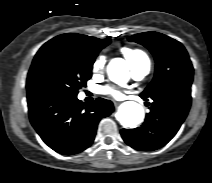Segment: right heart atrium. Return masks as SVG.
<instances>
[{
	"label": "right heart atrium",
	"mask_w": 212,
	"mask_h": 183,
	"mask_svg": "<svg viewBox=\"0 0 212 183\" xmlns=\"http://www.w3.org/2000/svg\"><path fill=\"white\" fill-rule=\"evenodd\" d=\"M105 63L106 58L104 55H100L99 57H97L92 65V73L95 75L102 73Z\"/></svg>",
	"instance_id": "d8ad5b80"
}]
</instances>
